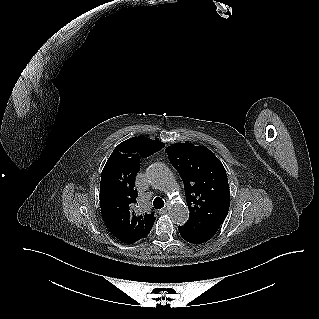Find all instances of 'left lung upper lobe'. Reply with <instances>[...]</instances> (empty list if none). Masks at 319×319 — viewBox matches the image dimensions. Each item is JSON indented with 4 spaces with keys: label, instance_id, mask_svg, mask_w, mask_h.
<instances>
[{
    "label": "left lung upper lobe",
    "instance_id": "left-lung-upper-lobe-1",
    "mask_svg": "<svg viewBox=\"0 0 319 319\" xmlns=\"http://www.w3.org/2000/svg\"><path fill=\"white\" fill-rule=\"evenodd\" d=\"M185 188L189 219L221 225L228 213L230 191L220 160L206 147L177 143L166 148Z\"/></svg>",
    "mask_w": 319,
    "mask_h": 319
}]
</instances>
